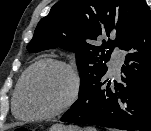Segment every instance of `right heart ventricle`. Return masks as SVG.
Returning a JSON list of instances; mask_svg holds the SVG:
<instances>
[{"label": "right heart ventricle", "mask_w": 151, "mask_h": 131, "mask_svg": "<svg viewBox=\"0 0 151 131\" xmlns=\"http://www.w3.org/2000/svg\"><path fill=\"white\" fill-rule=\"evenodd\" d=\"M19 82H20V81H19ZM19 82H18L17 87H16V89H15V92H14V95H13V101H12V111H13V114H14L15 116H17V115H16L15 110H14V98H15V95H16V92H17V89H18Z\"/></svg>", "instance_id": "1"}]
</instances>
